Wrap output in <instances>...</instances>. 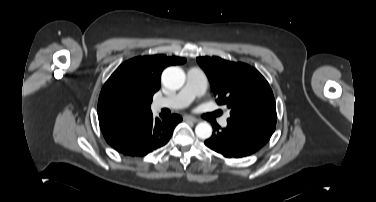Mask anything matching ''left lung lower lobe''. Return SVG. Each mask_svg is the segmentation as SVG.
I'll use <instances>...</instances> for the list:
<instances>
[{
    "instance_id": "1",
    "label": "left lung lower lobe",
    "mask_w": 376,
    "mask_h": 202,
    "mask_svg": "<svg viewBox=\"0 0 376 202\" xmlns=\"http://www.w3.org/2000/svg\"><path fill=\"white\" fill-rule=\"evenodd\" d=\"M215 132L205 145L227 158L249 156L261 149L273 132L262 127L227 120V127H213Z\"/></svg>"
}]
</instances>
